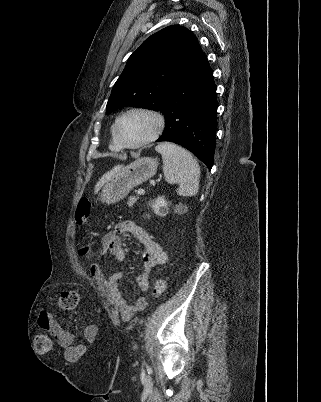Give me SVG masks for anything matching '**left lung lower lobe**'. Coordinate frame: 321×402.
I'll return each instance as SVG.
<instances>
[{"mask_svg":"<svg viewBox=\"0 0 321 402\" xmlns=\"http://www.w3.org/2000/svg\"><path fill=\"white\" fill-rule=\"evenodd\" d=\"M218 103L216 85L207 57L169 93L162 108L165 131L157 140L182 145L210 170L215 152Z\"/></svg>","mask_w":321,"mask_h":402,"instance_id":"1","label":"left lung lower lobe"}]
</instances>
